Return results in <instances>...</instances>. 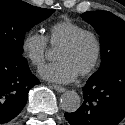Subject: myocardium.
I'll return each mask as SVG.
<instances>
[{
    "instance_id": "myocardium-1",
    "label": "myocardium",
    "mask_w": 125,
    "mask_h": 125,
    "mask_svg": "<svg viewBox=\"0 0 125 125\" xmlns=\"http://www.w3.org/2000/svg\"><path fill=\"white\" fill-rule=\"evenodd\" d=\"M84 36H90L93 39L95 43V55L90 65L79 74L80 77H86L92 74L99 63V60L101 57L102 46H101V41L98 35L92 30L84 29L74 34L73 36H71L66 42H64L58 47L62 49H69L73 47Z\"/></svg>"
}]
</instances>
